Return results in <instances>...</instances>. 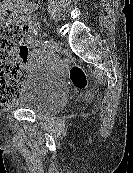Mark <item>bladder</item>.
Masks as SVG:
<instances>
[{
    "label": "bladder",
    "instance_id": "bladder-1",
    "mask_svg": "<svg viewBox=\"0 0 133 173\" xmlns=\"http://www.w3.org/2000/svg\"><path fill=\"white\" fill-rule=\"evenodd\" d=\"M68 97L63 77L48 67L31 70L25 77L15 107L50 116L58 113Z\"/></svg>",
    "mask_w": 133,
    "mask_h": 173
}]
</instances>
